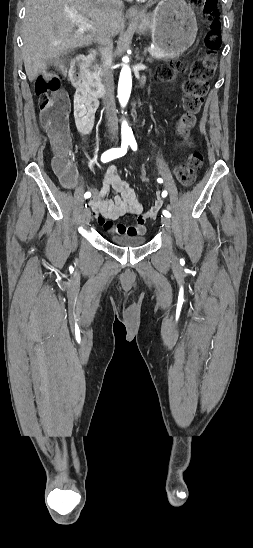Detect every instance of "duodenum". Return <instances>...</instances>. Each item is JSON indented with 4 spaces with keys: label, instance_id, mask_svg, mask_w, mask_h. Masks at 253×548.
I'll return each instance as SVG.
<instances>
[{
    "label": "duodenum",
    "instance_id": "obj_1",
    "mask_svg": "<svg viewBox=\"0 0 253 548\" xmlns=\"http://www.w3.org/2000/svg\"><path fill=\"white\" fill-rule=\"evenodd\" d=\"M95 56V50L77 56L71 63L69 77L71 83L78 91L93 98H99L104 95L105 91L99 84L93 81L89 70L90 63Z\"/></svg>",
    "mask_w": 253,
    "mask_h": 548
}]
</instances>
